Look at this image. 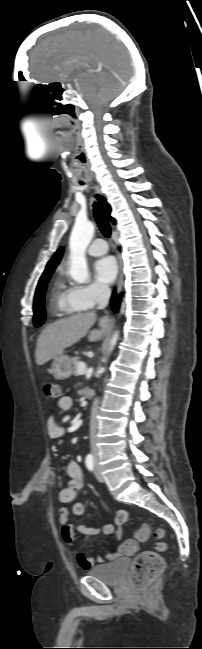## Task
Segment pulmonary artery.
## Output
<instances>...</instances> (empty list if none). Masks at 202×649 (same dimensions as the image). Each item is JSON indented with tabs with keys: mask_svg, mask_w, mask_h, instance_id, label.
<instances>
[{
	"mask_svg": "<svg viewBox=\"0 0 202 649\" xmlns=\"http://www.w3.org/2000/svg\"><path fill=\"white\" fill-rule=\"evenodd\" d=\"M107 251L108 246L106 242L101 238L94 240L88 248V253L92 256L103 255L107 253Z\"/></svg>",
	"mask_w": 202,
	"mask_h": 649,
	"instance_id": "obj_1",
	"label": "pulmonary artery"
}]
</instances>
